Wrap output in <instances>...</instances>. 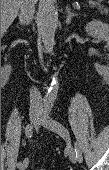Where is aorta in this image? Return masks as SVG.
<instances>
[{"mask_svg":"<svg viewBox=\"0 0 109 170\" xmlns=\"http://www.w3.org/2000/svg\"><path fill=\"white\" fill-rule=\"evenodd\" d=\"M56 0H44L41 15H40V32L42 41L46 51L53 54V47L55 45V31L57 28L58 14L55 6ZM59 84L57 81V74L54 75L51 87L44 98L46 104L54 103Z\"/></svg>","mask_w":109,"mask_h":170,"instance_id":"762f6f07","label":"aorta"}]
</instances>
